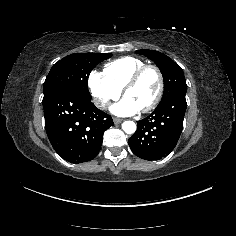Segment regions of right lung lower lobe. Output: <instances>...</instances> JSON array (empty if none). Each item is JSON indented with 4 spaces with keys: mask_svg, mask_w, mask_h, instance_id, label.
<instances>
[{
    "mask_svg": "<svg viewBox=\"0 0 236 236\" xmlns=\"http://www.w3.org/2000/svg\"><path fill=\"white\" fill-rule=\"evenodd\" d=\"M42 104L49 141L60 157L78 164L98 155L104 131L114 125L110 115L91 98L66 90L52 92Z\"/></svg>",
    "mask_w": 236,
    "mask_h": 236,
    "instance_id": "right-lung-lower-lobe-1",
    "label": "right lung lower lobe"
}]
</instances>
